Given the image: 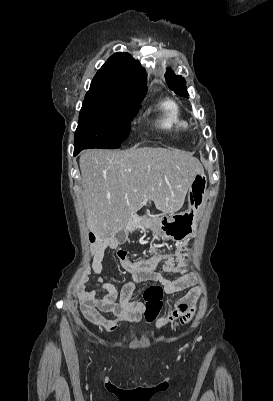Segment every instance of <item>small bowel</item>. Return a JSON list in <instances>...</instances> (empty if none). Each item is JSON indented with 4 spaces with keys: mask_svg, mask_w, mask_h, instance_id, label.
<instances>
[{
    "mask_svg": "<svg viewBox=\"0 0 273 401\" xmlns=\"http://www.w3.org/2000/svg\"><path fill=\"white\" fill-rule=\"evenodd\" d=\"M108 250L116 251V258L121 268L130 275L120 289L102 277V262ZM187 256L188 251L182 246H177L172 253L132 261L128 258V252L125 249H118V241L99 243L95 248L92 264L84 270L88 273V278L90 274H93L96 282V288L84 290L79 298L84 316L91 323L110 333L119 332V325L122 322L140 323L143 319L145 303L132 300L136 284L156 282L161 284L168 294L188 288L194 281V276L188 272ZM159 267L162 272L178 273L181 276L175 280H169L158 270ZM99 292H104V295H99ZM200 298L201 288L198 286L191 288L175 303L173 310L155 322V329L161 330L166 327L174 329L190 321ZM103 313L111 314L114 318L107 319L102 315Z\"/></svg>",
    "mask_w": 273,
    "mask_h": 401,
    "instance_id": "obj_1",
    "label": "small bowel"
}]
</instances>
